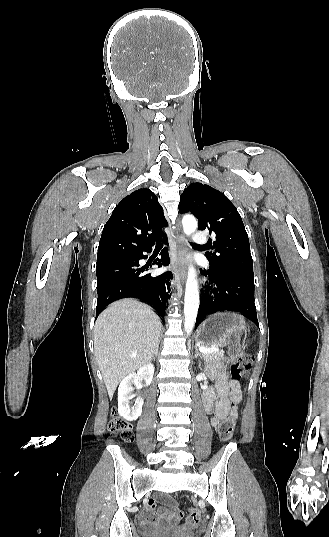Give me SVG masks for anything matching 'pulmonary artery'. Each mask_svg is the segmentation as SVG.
Here are the masks:
<instances>
[{"mask_svg": "<svg viewBox=\"0 0 329 537\" xmlns=\"http://www.w3.org/2000/svg\"><path fill=\"white\" fill-rule=\"evenodd\" d=\"M193 242L196 244V245H203L207 242V238L206 236L202 233V232H195L193 234Z\"/></svg>", "mask_w": 329, "mask_h": 537, "instance_id": "1", "label": "pulmonary artery"}]
</instances>
